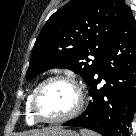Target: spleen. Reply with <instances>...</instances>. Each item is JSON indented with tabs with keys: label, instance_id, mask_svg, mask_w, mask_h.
<instances>
[{
	"label": "spleen",
	"instance_id": "1",
	"mask_svg": "<svg viewBox=\"0 0 136 136\" xmlns=\"http://www.w3.org/2000/svg\"><path fill=\"white\" fill-rule=\"evenodd\" d=\"M81 135L82 136H99L93 132L87 131V130H81Z\"/></svg>",
	"mask_w": 136,
	"mask_h": 136
}]
</instances>
